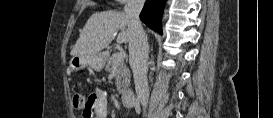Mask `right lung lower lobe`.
Segmentation results:
<instances>
[{
    "mask_svg": "<svg viewBox=\"0 0 273 118\" xmlns=\"http://www.w3.org/2000/svg\"><path fill=\"white\" fill-rule=\"evenodd\" d=\"M166 0H147L141 13L140 19L148 27L161 34V18Z\"/></svg>",
    "mask_w": 273,
    "mask_h": 118,
    "instance_id": "1",
    "label": "right lung lower lobe"
}]
</instances>
